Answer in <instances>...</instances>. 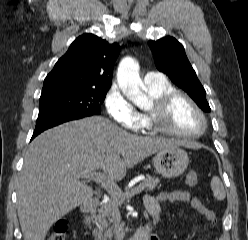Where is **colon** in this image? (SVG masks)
Listing matches in <instances>:
<instances>
[{
  "label": "colon",
  "instance_id": "obj_1",
  "mask_svg": "<svg viewBox=\"0 0 248 240\" xmlns=\"http://www.w3.org/2000/svg\"><path fill=\"white\" fill-rule=\"evenodd\" d=\"M198 182V175L194 171H190L186 175V183L188 186H194ZM67 223L65 221H58L55 225L54 231L47 240H65L66 239Z\"/></svg>",
  "mask_w": 248,
  "mask_h": 240
}]
</instances>
